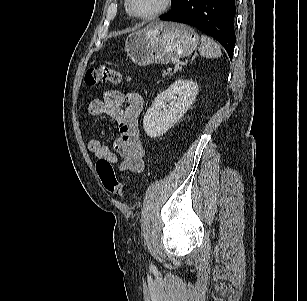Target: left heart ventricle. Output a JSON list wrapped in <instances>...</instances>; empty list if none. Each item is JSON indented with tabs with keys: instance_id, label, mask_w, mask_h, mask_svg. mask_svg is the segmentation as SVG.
<instances>
[{
	"instance_id": "b2bd125f",
	"label": "left heart ventricle",
	"mask_w": 307,
	"mask_h": 301,
	"mask_svg": "<svg viewBox=\"0 0 307 301\" xmlns=\"http://www.w3.org/2000/svg\"><path fill=\"white\" fill-rule=\"evenodd\" d=\"M163 4V0H132L134 10L139 14H150L158 10Z\"/></svg>"
}]
</instances>
